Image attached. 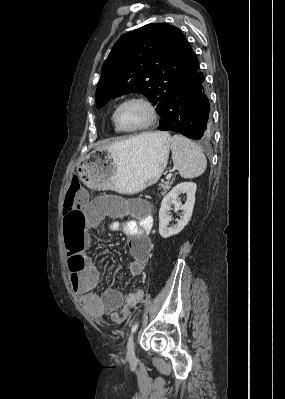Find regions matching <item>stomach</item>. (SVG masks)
Returning <instances> with one entry per match:
<instances>
[{
  "label": "stomach",
  "instance_id": "1",
  "mask_svg": "<svg viewBox=\"0 0 285 399\" xmlns=\"http://www.w3.org/2000/svg\"><path fill=\"white\" fill-rule=\"evenodd\" d=\"M154 139L133 137L106 148H97L77 166L82 182L93 190L135 194L155 184L165 170L170 136L157 132Z\"/></svg>",
  "mask_w": 285,
  "mask_h": 399
}]
</instances>
